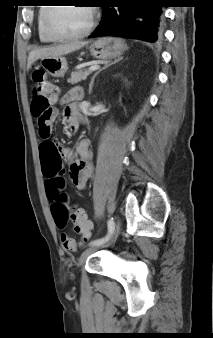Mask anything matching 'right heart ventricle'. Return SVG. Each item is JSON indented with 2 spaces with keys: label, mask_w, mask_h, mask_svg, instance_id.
<instances>
[{
  "label": "right heart ventricle",
  "mask_w": 213,
  "mask_h": 338,
  "mask_svg": "<svg viewBox=\"0 0 213 338\" xmlns=\"http://www.w3.org/2000/svg\"><path fill=\"white\" fill-rule=\"evenodd\" d=\"M46 5V4H43ZM49 6H39L38 14H37V29H38V35L42 42H51L52 40L49 39L44 31H43V20L44 16L46 14V11L48 10Z\"/></svg>",
  "instance_id": "1"
}]
</instances>
